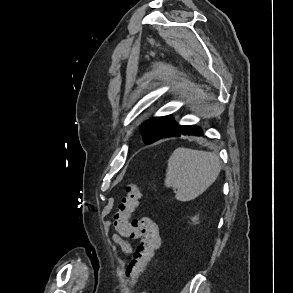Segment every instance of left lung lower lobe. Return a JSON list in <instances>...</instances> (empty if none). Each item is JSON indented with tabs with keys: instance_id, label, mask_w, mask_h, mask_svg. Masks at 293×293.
Returning a JSON list of instances; mask_svg holds the SVG:
<instances>
[{
	"instance_id": "1",
	"label": "left lung lower lobe",
	"mask_w": 293,
	"mask_h": 293,
	"mask_svg": "<svg viewBox=\"0 0 293 293\" xmlns=\"http://www.w3.org/2000/svg\"><path fill=\"white\" fill-rule=\"evenodd\" d=\"M201 128L194 125H176L165 137H180L181 135H202Z\"/></svg>"
}]
</instances>
